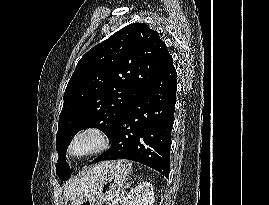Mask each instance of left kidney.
Instances as JSON below:
<instances>
[{
  "mask_svg": "<svg viewBox=\"0 0 269 205\" xmlns=\"http://www.w3.org/2000/svg\"><path fill=\"white\" fill-rule=\"evenodd\" d=\"M153 203V187L150 183L143 182L130 190L123 199L122 205H153Z\"/></svg>",
  "mask_w": 269,
  "mask_h": 205,
  "instance_id": "left-kidney-1",
  "label": "left kidney"
}]
</instances>
